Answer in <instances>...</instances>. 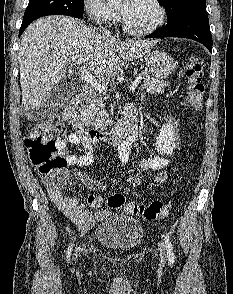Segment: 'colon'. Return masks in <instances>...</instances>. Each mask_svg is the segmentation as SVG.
<instances>
[{
	"instance_id": "colon-1",
	"label": "colon",
	"mask_w": 233,
	"mask_h": 294,
	"mask_svg": "<svg viewBox=\"0 0 233 294\" xmlns=\"http://www.w3.org/2000/svg\"><path fill=\"white\" fill-rule=\"evenodd\" d=\"M185 74L188 79V101L195 111H200L203 105L205 86L204 61L198 55L190 57ZM61 129V122L56 116L35 123L28 132L25 146L29 159L34 167L43 174L56 189H64L69 183L66 171L68 165L64 156L58 154L54 134ZM110 208L125 207L130 214L142 215L148 220H156L167 215V208L161 201H152L147 204L125 202L122 194L112 195L108 200Z\"/></svg>"
}]
</instances>
